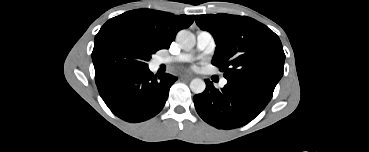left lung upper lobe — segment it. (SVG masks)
<instances>
[{"label": "left lung upper lobe", "instance_id": "5c2ea615", "mask_svg": "<svg viewBox=\"0 0 369 152\" xmlns=\"http://www.w3.org/2000/svg\"><path fill=\"white\" fill-rule=\"evenodd\" d=\"M217 45L212 64L227 80L275 87L283 75L285 54L279 37L267 26L245 16L224 13L196 16Z\"/></svg>", "mask_w": 369, "mask_h": 152}]
</instances>
